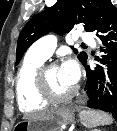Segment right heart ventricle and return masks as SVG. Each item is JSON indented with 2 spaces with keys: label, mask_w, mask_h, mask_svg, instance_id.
I'll use <instances>...</instances> for the list:
<instances>
[{
  "label": "right heart ventricle",
  "mask_w": 117,
  "mask_h": 131,
  "mask_svg": "<svg viewBox=\"0 0 117 131\" xmlns=\"http://www.w3.org/2000/svg\"><path fill=\"white\" fill-rule=\"evenodd\" d=\"M44 60L26 57L16 78V96L19 108L23 112L37 111L48 104L38 93L37 72Z\"/></svg>",
  "instance_id": "obj_1"
}]
</instances>
